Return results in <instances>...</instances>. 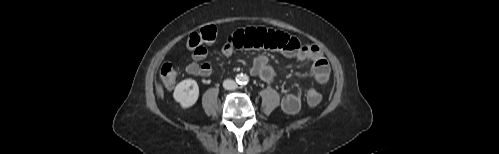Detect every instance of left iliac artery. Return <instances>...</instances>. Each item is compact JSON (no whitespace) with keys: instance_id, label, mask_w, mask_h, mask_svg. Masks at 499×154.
<instances>
[{"instance_id":"left-iliac-artery-1","label":"left iliac artery","mask_w":499,"mask_h":154,"mask_svg":"<svg viewBox=\"0 0 499 154\" xmlns=\"http://www.w3.org/2000/svg\"><path fill=\"white\" fill-rule=\"evenodd\" d=\"M249 82V78L247 76L243 77V83L247 84Z\"/></svg>"}]
</instances>
